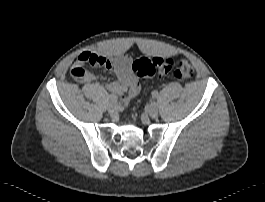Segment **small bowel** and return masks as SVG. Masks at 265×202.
<instances>
[{"label":"small bowel","instance_id":"1","mask_svg":"<svg viewBox=\"0 0 265 202\" xmlns=\"http://www.w3.org/2000/svg\"><path fill=\"white\" fill-rule=\"evenodd\" d=\"M90 65L93 67H104L112 70L117 80L106 85L107 90L114 96H119L122 104H127L140 92V84L131 73L132 60L125 54L104 55L93 51L82 52L76 62V66ZM83 80L94 82L96 76L86 72Z\"/></svg>","mask_w":265,"mask_h":202}]
</instances>
